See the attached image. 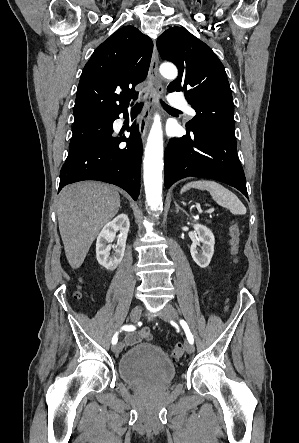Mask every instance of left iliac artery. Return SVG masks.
<instances>
[{
  "label": "left iliac artery",
  "mask_w": 299,
  "mask_h": 443,
  "mask_svg": "<svg viewBox=\"0 0 299 443\" xmlns=\"http://www.w3.org/2000/svg\"><path fill=\"white\" fill-rule=\"evenodd\" d=\"M180 324H181L182 328L184 329V331H185V333H186V336H187L188 341H189L191 344H193V342H194V338H193V335H192V333H191V331H190V329H189L187 323H186L184 320H180Z\"/></svg>",
  "instance_id": "1"
}]
</instances>
